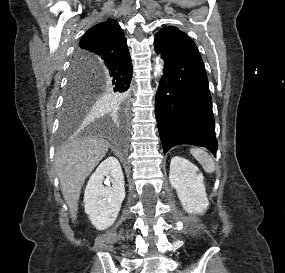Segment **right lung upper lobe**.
I'll return each instance as SVG.
<instances>
[{
    "label": "right lung upper lobe",
    "instance_id": "obj_1",
    "mask_svg": "<svg viewBox=\"0 0 285 273\" xmlns=\"http://www.w3.org/2000/svg\"><path fill=\"white\" fill-rule=\"evenodd\" d=\"M127 41L117 21L108 19L91 27L81 38L72 66L96 77L97 67L126 58Z\"/></svg>",
    "mask_w": 285,
    "mask_h": 273
}]
</instances>
